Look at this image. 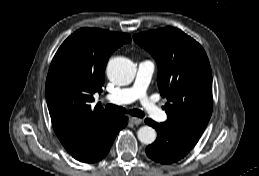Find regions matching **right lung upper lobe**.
I'll list each match as a JSON object with an SVG mask.
<instances>
[{"mask_svg":"<svg viewBox=\"0 0 259 176\" xmlns=\"http://www.w3.org/2000/svg\"><path fill=\"white\" fill-rule=\"evenodd\" d=\"M130 41L125 33L81 28L56 52L45 95L54 131L70 154L84 149L113 121V114L91 103L93 94L102 92L110 55Z\"/></svg>","mask_w":259,"mask_h":176,"instance_id":"right-lung-upper-lobe-1","label":"right lung upper lobe"}]
</instances>
